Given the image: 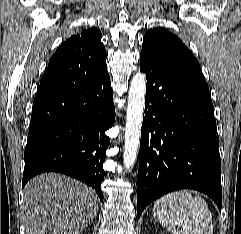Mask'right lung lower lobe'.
<instances>
[{
	"label": "right lung lower lobe",
	"instance_id": "98d812e1",
	"mask_svg": "<svg viewBox=\"0 0 241 234\" xmlns=\"http://www.w3.org/2000/svg\"><path fill=\"white\" fill-rule=\"evenodd\" d=\"M115 120L108 72L81 85L36 95L24 153L22 187L35 175L60 172L94 188L101 201L106 130Z\"/></svg>",
	"mask_w": 241,
	"mask_h": 234
}]
</instances>
